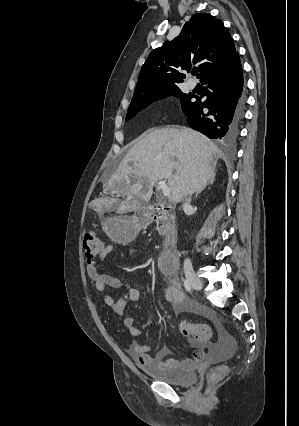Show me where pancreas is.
Listing matches in <instances>:
<instances>
[{
    "label": "pancreas",
    "mask_w": 299,
    "mask_h": 426,
    "mask_svg": "<svg viewBox=\"0 0 299 426\" xmlns=\"http://www.w3.org/2000/svg\"><path fill=\"white\" fill-rule=\"evenodd\" d=\"M157 231L160 235L164 236L169 232L175 230V216L174 214L164 213L157 218Z\"/></svg>",
    "instance_id": "obj_1"
}]
</instances>
